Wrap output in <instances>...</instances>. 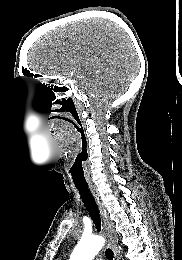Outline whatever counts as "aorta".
Instances as JSON below:
<instances>
[{
	"instance_id": "aorta-1",
	"label": "aorta",
	"mask_w": 182,
	"mask_h": 260,
	"mask_svg": "<svg viewBox=\"0 0 182 260\" xmlns=\"http://www.w3.org/2000/svg\"><path fill=\"white\" fill-rule=\"evenodd\" d=\"M101 236L82 237L74 248L69 260H93L104 246Z\"/></svg>"
}]
</instances>
